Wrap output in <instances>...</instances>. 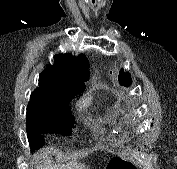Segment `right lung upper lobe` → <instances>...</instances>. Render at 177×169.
I'll return each mask as SVG.
<instances>
[{"label":"right lung upper lobe","mask_w":177,"mask_h":169,"mask_svg":"<svg viewBox=\"0 0 177 169\" xmlns=\"http://www.w3.org/2000/svg\"><path fill=\"white\" fill-rule=\"evenodd\" d=\"M88 59L84 54L73 57L60 54L39 76V87L30 96L29 105L53 104L71 100L88 80Z\"/></svg>","instance_id":"obj_1"}]
</instances>
